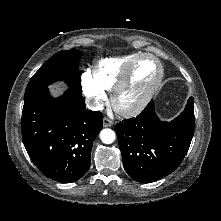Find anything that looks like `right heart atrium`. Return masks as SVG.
I'll return each mask as SVG.
<instances>
[{
  "label": "right heart atrium",
  "instance_id": "obj_1",
  "mask_svg": "<svg viewBox=\"0 0 221 221\" xmlns=\"http://www.w3.org/2000/svg\"><path fill=\"white\" fill-rule=\"evenodd\" d=\"M83 93L89 102V104L98 108L102 105L106 99V93L104 89L95 81L91 72L86 71L81 77Z\"/></svg>",
  "mask_w": 221,
  "mask_h": 221
}]
</instances>
